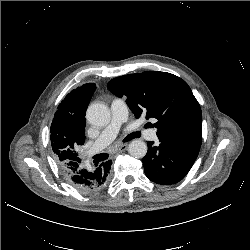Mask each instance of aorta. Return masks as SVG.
<instances>
[{"label": "aorta", "mask_w": 250, "mask_h": 250, "mask_svg": "<svg viewBox=\"0 0 250 250\" xmlns=\"http://www.w3.org/2000/svg\"><path fill=\"white\" fill-rule=\"evenodd\" d=\"M88 122L95 127L106 126L111 120L109 108L101 103L91 104L86 112ZM128 152L134 158H143L147 153V144L142 140H133L128 147Z\"/></svg>", "instance_id": "762f6f07"}]
</instances>
